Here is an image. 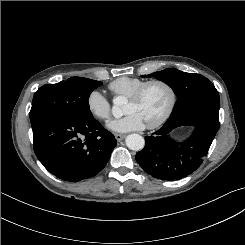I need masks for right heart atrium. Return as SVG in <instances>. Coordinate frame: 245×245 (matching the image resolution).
<instances>
[{
	"label": "right heart atrium",
	"mask_w": 245,
	"mask_h": 245,
	"mask_svg": "<svg viewBox=\"0 0 245 245\" xmlns=\"http://www.w3.org/2000/svg\"><path fill=\"white\" fill-rule=\"evenodd\" d=\"M88 111L93 117L101 121H107L111 115V104L100 90L91 91L86 99Z\"/></svg>",
	"instance_id": "1"
}]
</instances>
